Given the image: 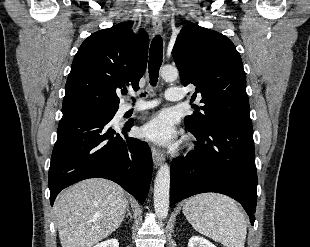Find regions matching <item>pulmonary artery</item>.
Returning <instances> with one entry per match:
<instances>
[{
    "label": "pulmonary artery",
    "instance_id": "e3ab8cb5",
    "mask_svg": "<svg viewBox=\"0 0 310 247\" xmlns=\"http://www.w3.org/2000/svg\"><path fill=\"white\" fill-rule=\"evenodd\" d=\"M165 98L169 101H180L184 98V93L179 87H170L165 92ZM158 104V101L138 100L135 104L125 103L120 107L119 113L128 111H143L152 108Z\"/></svg>",
    "mask_w": 310,
    "mask_h": 247
}]
</instances>
